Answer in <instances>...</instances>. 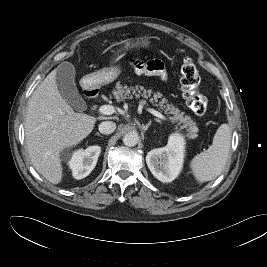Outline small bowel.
Here are the masks:
<instances>
[{"label":"small bowel","mask_w":267,"mask_h":267,"mask_svg":"<svg viewBox=\"0 0 267 267\" xmlns=\"http://www.w3.org/2000/svg\"><path fill=\"white\" fill-rule=\"evenodd\" d=\"M132 67L137 74H147L160 76L163 80L166 79V70L164 64L159 60L140 61L134 60Z\"/></svg>","instance_id":"obj_1"}]
</instances>
